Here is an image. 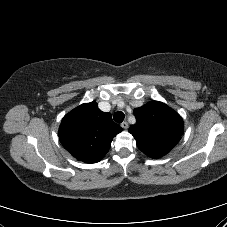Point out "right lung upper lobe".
<instances>
[{
  "instance_id": "cb5924a9",
  "label": "right lung upper lobe",
  "mask_w": 227,
  "mask_h": 227,
  "mask_svg": "<svg viewBox=\"0 0 227 227\" xmlns=\"http://www.w3.org/2000/svg\"><path fill=\"white\" fill-rule=\"evenodd\" d=\"M123 129L110 113L102 112L96 102L85 103L64 116L59 140L77 160L99 162L108 152L113 138Z\"/></svg>"
}]
</instances>
